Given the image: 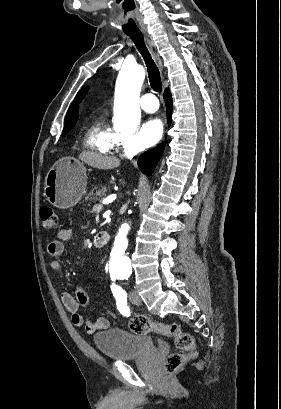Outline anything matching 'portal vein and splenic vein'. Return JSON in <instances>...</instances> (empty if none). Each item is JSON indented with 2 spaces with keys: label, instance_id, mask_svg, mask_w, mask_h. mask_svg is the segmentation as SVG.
Wrapping results in <instances>:
<instances>
[{
  "label": "portal vein and splenic vein",
  "instance_id": "1",
  "mask_svg": "<svg viewBox=\"0 0 281 409\" xmlns=\"http://www.w3.org/2000/svg\"><path fill=\"white\" fill-rule=\"evenodd\" d=\"M99 209H101L100 204L99 203H94L93 206L91 207V212L92 213H98Z\"/></svg>",
  "mask_w": 281,
  "mask_h": 409
}]
</instances>
